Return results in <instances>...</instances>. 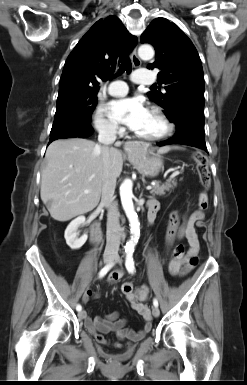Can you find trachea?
I'll return each mask as SVG.
<instances>
[{"label":"trachea","instance_id":"3493384b","mask_svg":"<svg viewBox=\"0 0 247 385\" xmlns=\"http://www.w3.org/2000/svg\"><path fill=\"white\" fill-rule=\"evenodd\" d=\"M132 70V64L131 61L128 57H125L124 60L122 61L120 67H119V73L122 74L125 71L127 73H130Z\"/></svg>","mask_w":247,"mask_h":385}]
</instances>
